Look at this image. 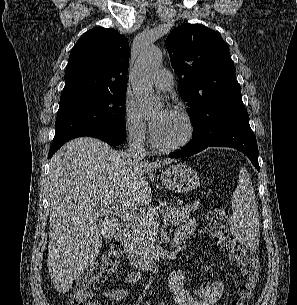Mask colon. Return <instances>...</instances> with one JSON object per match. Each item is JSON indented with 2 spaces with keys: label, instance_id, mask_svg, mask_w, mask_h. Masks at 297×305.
I'll return each mask as SVG.
<instances>
[{
  "label": "colon",
  "instance_id": "5ec220e1",
  "mask_svg": "<svg viewBox=\"0 0 297 305\" xmlns=\"http://www.w3.org/2000/svg\"><path fill=\"white\" fill-rule=\"evenodd\" d=\"M228 214L222 206H214L207 215L209 235L241 270L245 283L239 289L238 299L231 305H244L252 295L260 278V262L257 255L238 244L228 232ZM121 261V247L113 242L108 249L83 274L71 289L69 305H97L96 283L115 273Z\"/></svg>",
  "mask_w": 297,
  "mask_h": 305
}]
</instances>
